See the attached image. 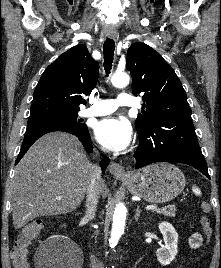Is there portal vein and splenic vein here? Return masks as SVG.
I'll list each match as a JSON object with an SVG mask.
<instances>
[{"label":"portal vein and splenic vein","mask_w":221,"mask_h":268,"mask_svg":"<svg viewBox=\"0 0 221 268\" xmlns=\"http://www.w3.org/2000/svg\"><path fill=\"white\" fill-rule=\"evenodd\" d=\"M58 199L60 200L61 198H58ZM156 208H157V206H155V205H148V206H146V210H154Z\"/></svg>","instance_id":"18ae733b"}]
</instances>
